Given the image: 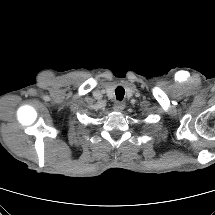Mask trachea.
Instances as JSON below:
<instances>
[{"instance_id": "obj_1", "label": "trachea", "mask_w": 215, "mask_h": 215, "mask_svg": "<svg viewBox=\"0 0 215 215\" xmlns=\"http://www.w3.org/2000/svg\"><path fill=\"white\" fill-rule=\"evenodd\" d=\"M116 99L121 101L124 98L125 90L123 87H117L115 90Z\"/></svg>"}]
</instances>
